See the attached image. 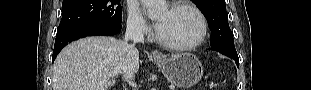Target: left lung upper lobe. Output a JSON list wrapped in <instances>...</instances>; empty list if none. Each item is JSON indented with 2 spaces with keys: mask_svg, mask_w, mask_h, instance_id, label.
<instances>
[{
  "mask_svg": "<svg viewBox=\"0 0 311 90\" xmlns=\"http://www.w3.org/2000/svg\"><path fill=\"white\" fill-rule=\"evenodd\" d=\"M193 2L208 20L212 48L237 53L228 24L225 0H194Z\"/></svg>",
  "mask_w": 311,
  "mask_h": 90,
  "instance_id": "5c2ea615",
  "label": "left lung upper lobe"
}]
</instances>
